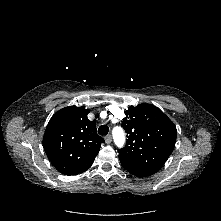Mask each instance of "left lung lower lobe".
Segmentation results:
<instances>
[{"instance_id":"obj_1","label":"left lung lower lobe","mask_w":221,"mask_h":221,"mask_svg":"<svg viewBox=\"0 0 221 221\" xmlns=\"http://www.w3.org/2000/svg\"><path fill=\"white\" fill-rule=\"evenodd\" d=\"M127 171H129L131 174L138 176V177H146L155 174L160 170V168H145V169H134V168H128L124 167Z\"/></svg>"}]
</instances>
